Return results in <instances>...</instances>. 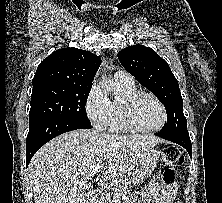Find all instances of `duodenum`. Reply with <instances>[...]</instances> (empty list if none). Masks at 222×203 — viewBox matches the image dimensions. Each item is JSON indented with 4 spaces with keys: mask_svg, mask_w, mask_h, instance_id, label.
<instances>
[{
    "mask_svg": "<svg viewBox=\"0 0 222 203\" xmlns=\"http://www.w3.org/2000/svg\"><path fill=\"white\" fill-rule=\"evenodd\" d=\"M102 198V192L100 190H93L89 195L90 203H99Z\"/></svg>",
    "mask_w": 222,
    "mask_h": 203,
    "instance_id": "duodenum-1",
    "label": "duodenum"
}]
</instances>
